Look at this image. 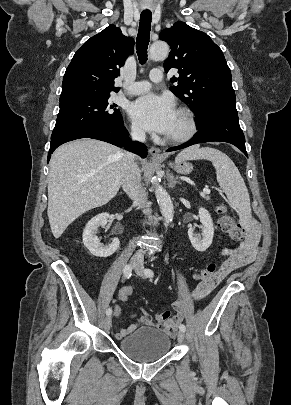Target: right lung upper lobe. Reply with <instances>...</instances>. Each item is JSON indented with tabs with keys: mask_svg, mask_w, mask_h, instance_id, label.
<instances>
[{
	"mask_svg": "<svg viewBox=\"0 0 291 405\" xmlns=\"http://www.w3.org/2000/svg\"><path fill=\"white\" fill-rule=\"evenodd\" d=\"M133 49L134 40L125 37L115 25L91 37L77 50L66 69L60 101L117 92L114 79Z\"/></svg>",
	"mask_w": 291,
	"mask_h": 405,
	"instance_id": "obj_1",
	"label": "right lung upper lobe"
}]
</instances>
